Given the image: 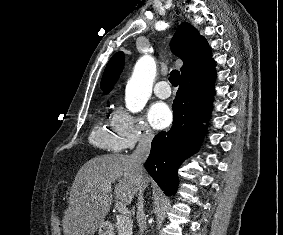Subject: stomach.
<instances>
[{"mask_svg":"<svg viewBox=\"0 0 283 235\" xmlns=\"http://www.w3.org/2000/svg\"><path fill=\"white\" fill-rule=\"evenodd\" d=\"M98 235H112V228L107 222H103L99 225Z\"/></svg>","mask_w":283,"mask_h":235,"instance_id":"stomach-1","label":"stomach"}]
</instances>
